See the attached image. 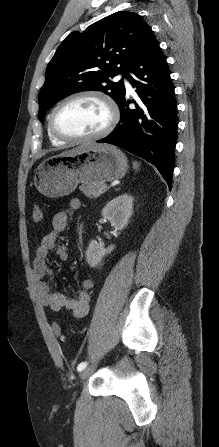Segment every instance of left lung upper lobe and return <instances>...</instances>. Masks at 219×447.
<instances>
[{
	"instance_id": "obj_1",
	"label": "left lung upper lobe",
	"mask_w": 219,
	"mask_h": 447,
	"mask_svg": "<svg viewBox=\"0 0 219 447\" xmlns=\"http://www.w3.org/2000/svg\"><path fill=\"white\" fill-rule=\"evenodd\" d=\"M139 15L119 11L90 25L83 33L72 32L57 48L46 68V80L39 92V118L42 122L51 106L66 96L99 90L120 103L123 80L133 59L152 35Z\"/></svg>"
}]
</instances>
